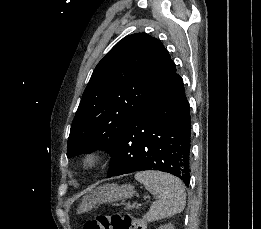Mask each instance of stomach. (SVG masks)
<instances>
[{"mask_svg":"<svg viewBox=\"0 0 261 229\" xmlns=\"http://www.w3.org/2000/svg\"><path fill=\"white\" fill-rule=\"evenodd\" d=\"M135 195V187L133 185H101L95 187L87 195L86 199L91 205H104V203H115V201H124L131 199Z\"/></svg>","mask_w":261,"mask_h":229,"instance_id":"1","label":"stomach"}]
</instances>
